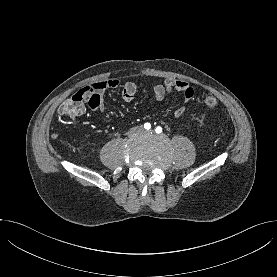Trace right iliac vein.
<instances>
[{
	"label": "right iliac vein",
	"instance_id": "63e3f726",
	"mask_svg": "<svg viewBox=\"0 0 277 277\" xmlns=\"http://www.w3.org/2000/svg\"><path fill=\"white\" fill-rule=\"evenodd\" d=\"M141 134H143V130L141 127H134L128 132V136L130 138H137Z\"/></svg>",
	"mask_w": 277,
	"mask_h": 277
}]
</instances>
